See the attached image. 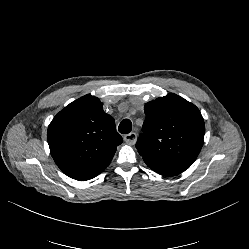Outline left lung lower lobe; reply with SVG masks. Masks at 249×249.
I'll use <instances>...</instances> for the list:
<instances>
[{
	"instance_id": "0a47b994",
	"label": "left lung lower lobe",
	"mask_w": 249,
	"mask_h": 249,
	"mask_svg": "<svg viewBox=\"0 0 249 249\" xmlns=\"http://www.w3.org/2000/svg\"><path fill=\"white\" fill-rule=\"evenodd\" d=\"M151 169L164 176H175V175L180 174V172L169 170V169H166L160 166H152Z\"/></svg>"
}]
</instances>
